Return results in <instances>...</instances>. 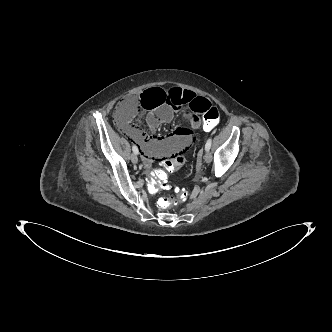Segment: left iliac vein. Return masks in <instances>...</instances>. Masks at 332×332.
I'll return each mask as SVG.
<instances>
[{
	"label": "left iliac vein",
	"instance_id": "1",
	"mask_svg": "<svg viewBox=\"0 0 332 332\" xmlns=\"http://www.w3.org/2000/svg\"><path fill=\"white\" fill-rule=\"evenodd\" d=\"M204 161L206 163H210L212 161V155H211V153L209 151L205 152Z\"/></svg>",
	"mask_w": 332,
	"mask_h": 332
}]
</instances>
